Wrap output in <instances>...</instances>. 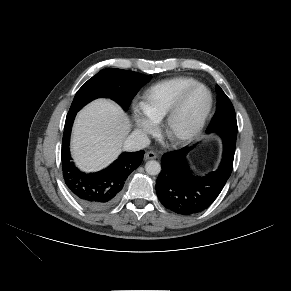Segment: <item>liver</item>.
Returning <instances> with one entry per match:
<instances>
[{"label": "liver", "mask_w": 291, "mask_h": 291, "mask_svg": "<svg viewBox=\"0 0 291 291\" xmlns=\"http://www.w3.org/2000/svg\"><path fill=\"white\" fill-rule=\"evenodd\" d=\"M128 116L114 102L98 99L77 115L71 140L74 160L83 171H96L120 153L130 132Z\"/></svg>", "instance_id": "1"}]
</instances>
